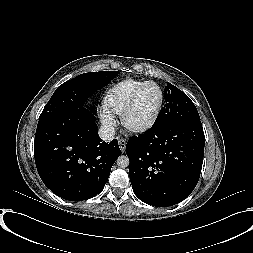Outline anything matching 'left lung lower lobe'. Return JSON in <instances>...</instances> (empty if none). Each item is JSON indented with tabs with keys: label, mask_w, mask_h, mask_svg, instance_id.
Wrapping results in <instances>:
<instances>
[{
	"label": "left lung lower lobe",
	"mask_w": 253,
	"mask_h": 253,
	"mask_svg": "<svg viewBox=\"0 0 253 253\" xmlns=\"http://www.w3.org/2000/svg\"><path fill=\"white\" fill-rule=\"evenodd\" d=\"M204 145L200 120L152 127L130 138L126 154L136 196L157 207L172 206L184 200L199 180Z\"/></svg>",
	"instance_id": "obj_1"
}]
</instances>
